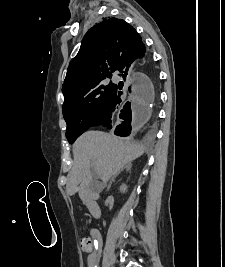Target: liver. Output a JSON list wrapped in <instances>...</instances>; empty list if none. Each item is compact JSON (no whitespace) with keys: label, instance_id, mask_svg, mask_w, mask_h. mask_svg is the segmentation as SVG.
Here are the masks:
<instances>
[{"label":"liver","instance_id":"liver-1","mask_svg":"<svg viewBox=\"0 0 225 267\" xmlns=\"http://www.w3.org/2000/svg\"><path fill=\"white\" fill-rule=\"evenodd\" d=\"M144 147L101 131H87L73 145L74 164L68 174L66 192L72 196L88 188L92 181L91 163L103 182L143 155Z\"/></svg>","mask_w":225,"mask_h":267}]
</instances>
